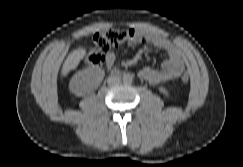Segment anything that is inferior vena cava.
Listing matches in <instances>:
<instances>
[{
	"label": "inferior vena cava",
	"instance_id": "obj_1",
	"mask_svg": "<svg viewBox=\"0 0 243 167\" xmlns=\"http://www.w3.org/2000/svg\"><path fill=\"white\" fill-rule=\"evenodd\" d=\"M109 85H116L121 82V78L117 75H111L107 80Z\"/></svg>",
	"mask_w": 243,
	"mask_h": 167
}]
</instances>
